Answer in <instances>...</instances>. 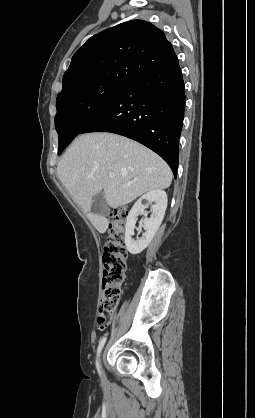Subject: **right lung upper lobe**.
<instances>
[{"instance_id":"right-lung-upper-lobe-1","label":"right lung upper lobe","mask_w":255,"mask_h":418,"mask_svg":"<svg viewBox=\"0 0 255 418\" xmlns=\"http://www.w3.org/2000/svg\"><path fill=\"white\" fill-rule=\"evenodd\" d=\"M176 62L178 58L162 30L143 20L128 21L92 36L78 49L58 95L98 81L130 84Z\"/></svg>"}]
</instances>
